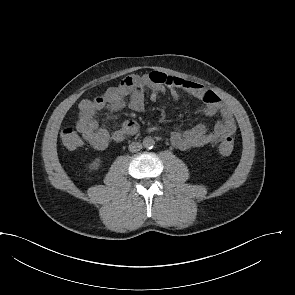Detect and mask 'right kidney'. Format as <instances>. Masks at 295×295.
<instances>
[{
	"label": "right kidney",
	"mask_w": 295,
	"mask_h": 295,
	"mask_svg": "<svg viewBox=\"0 0 295 295\" xmlns=\"http://www.w3.org/2000/svg\"><path fill=\"white\" fill-rule=\"evenodd\" d=\"M100 163H101L100 159L97 158L90 164L89 168L91 170H96L100 166Z\"/></svg>",
	"instance_id": "obj_1"
}]
</instances>
